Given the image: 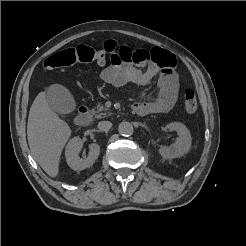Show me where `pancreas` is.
<instances>
[{"label": "pancreas", "instance_id": "obj_1", "mask_svg": "<svg viewBox=\"0 0 246 246\" xmlns=\"http://www.w3.org/2000/svg\"><path fill=\"white\" fill-rule=\"evenodd\" d=\"M93 113L95 114V118H97V119L107 117L111 114L110 111L108 110V108H106L103 105H98L97 110L93 111Z\"/></svg>", "mask_w": 246, "mask_h": 246}]
</instances>
